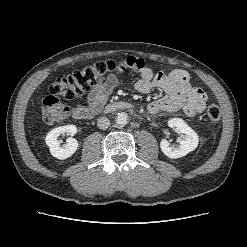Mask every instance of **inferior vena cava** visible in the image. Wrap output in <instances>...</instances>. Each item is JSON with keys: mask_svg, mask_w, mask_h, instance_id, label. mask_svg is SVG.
<instances>
[{"mask_svg": "<svg viewBox=\"0 0 247 247\" xmlns=\"http://www.w3.org/2000/svg\"><path fill=\"white\" fill-rule=\"evenodd\" d=\"M97 125L100 129H107L110 125V120L107 117H100Z\"/></svg>", "mask_w": 247, "mask_h": 247, "instance_id": "obj_1", "label": "inferior vena cava"}]
</instances>
